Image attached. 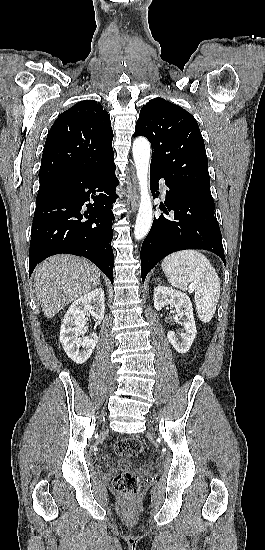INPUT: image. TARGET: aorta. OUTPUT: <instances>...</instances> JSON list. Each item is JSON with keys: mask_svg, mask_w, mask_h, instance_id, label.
I'll return each mask as SVG.
<instances>
[{"mask_svg": "<svg viewBox=\"0 0 265 550\" xmlns=\"http://www.w3.org/2000/svg\"><path fill=\"white\" fill-rule=\"evenodd\" d=\"M140 187V206L134 226V238L143 239L149 232L153 221V210L149 190L150 143L144 137L135 139L132 147Z\"/></svg>", "mask_w": 265, "mask_h": 550, "instance_id": "aorta-1", "label": "aorta"}]
</instances>
